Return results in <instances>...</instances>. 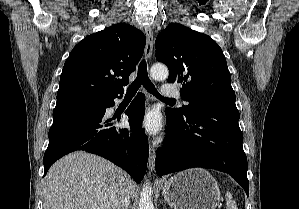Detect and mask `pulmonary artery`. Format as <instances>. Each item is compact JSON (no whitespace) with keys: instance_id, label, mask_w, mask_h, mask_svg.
<instances>
[{"instance_id":"1","label":"pulmonary artery","mask_w":299,"mask_h":209,"mask_svg":"<svg viewBox=\"0 0 299 209\" xmlns=\"http://www.w3.org/2000/svg\"><path fill=\"white\" fill-rule=\"evenodd\" d=\"M161 93L164 97L169 98H178L180 97V91L178 88L170 85V84H164L161 89Z\"/></svg>"}]
</instances>
